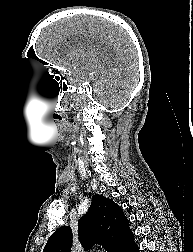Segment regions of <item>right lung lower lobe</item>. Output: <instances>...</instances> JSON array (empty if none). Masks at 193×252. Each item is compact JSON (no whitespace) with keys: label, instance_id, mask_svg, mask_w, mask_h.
Here are the masks:
<instances>
[{"label":"right lung lower lobe","instance_id":"obj_1","mask_svg":"<svg viewBox=\"0 0 193 252\" xmlns=\"http://www.w3.org/2000/svg\"><path fill=\"white\" fill-rule=\"evenodd\" d=\"M115 252H139V248L134 242L133 233L125 240V242Z\"/></svg>","mask_w":193,"mask_h":252}]
</instances>
